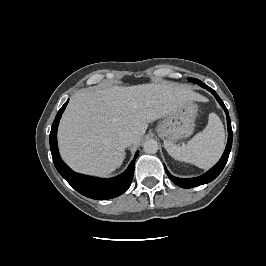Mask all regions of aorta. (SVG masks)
<instances>
[{
  "label": "aorta",
  "instance_id": "762f6f07",
  "mask_svg": "<svg viewBox=\"0 0 266 266\" xmlns=\"http://www.w3.org/2000/svg\"><path fill=\"white\" fill-rule=\"evenodd\" d=\"M143 150L147 154H155L158 151V143L154 139L146 140L143 144Z\"/></svg>",
  "mask_w": 266,
  "mask_h": 266
}]
</instances>
